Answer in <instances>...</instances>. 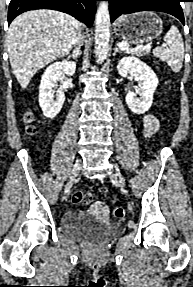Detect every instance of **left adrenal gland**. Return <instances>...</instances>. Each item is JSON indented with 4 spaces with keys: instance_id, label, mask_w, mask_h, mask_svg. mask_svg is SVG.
<instances>
[{
    "instance_id": "a2214340",
    "label": "left adrenal gland",
    "mask_w": 193,
    "mask_h": 287,
    "mask_svg": "<svg viewBox=\"0 0 193 287\" xmlns=\"http://www.w3.org/2000/svg\"><path fill=\"white\" fill-rule=\"evenodd\" d=\"M117 52H121V51L119 50V48L116 45L115 48H114L113 55L115 56Z\"/></svg>"
}]
</instances>
